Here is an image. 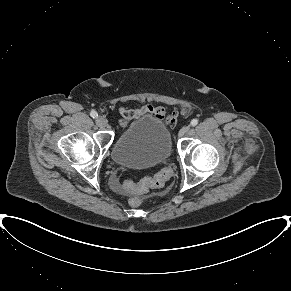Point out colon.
<instances>
[{"instance_id": "obj_1", "label": "colon", "mask_w": 291, "mask_h": 291, "mask_svg": "<svg viewBox=\"0 0 291 291\" xmlns=\"http://www.w3.org/2000/svg\"><path fill=\"white\" fill-rule=\"evenodd\" d=\"M172 169L165 167L157 172L155 175L143 178L140 182L134 183L132 181H126L123 184V189L131 193H144L150 188H158L165 184V182L171 177ZM129 203L132 207H140L143 201L139 197H131Z\"/></svg>"}]
</instances>
